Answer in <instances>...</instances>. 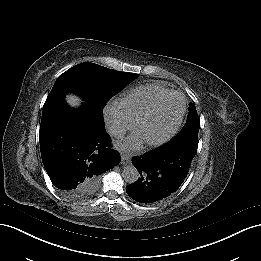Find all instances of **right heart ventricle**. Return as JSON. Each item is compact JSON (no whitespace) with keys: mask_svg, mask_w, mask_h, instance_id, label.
I'll list each match as a JSON object with an SVG mask.
<instances>
[{"mask_svg":"<svg viewBox=\"0 0 261 261\" xmlns=\"http://www.w3.org/2000/svg\"><path fill=\"white\" fill-rule=\"evenodd\" d=\"M172 94L173 90L169 87L160 83H150L128 91L115 102V106L127 121H132L137 116L152 110Z\"/></svg>","mask_w":261,"mask_h":261,"instance_id":"1","label":"right heart ventricle"}]
</instances>
